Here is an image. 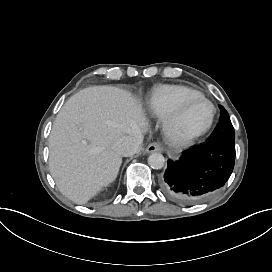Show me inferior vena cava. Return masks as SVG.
<instances>
[{
    "mask_svg": "<svg viewBox=\"0 0 272 272\" xmlns=\"http://www.w3.org/2000/svg\"><path fill=\"white\" fill-rule=\"evenodd\" d=\"M143 141L142 135H138L136 139L130 136L120 138L114 144V150L121 156L128 157L138 152L139 147Z\"/></svg>",
    "mask_w": 272,
    "mask_h": 272,
    "instance_id": "obj_1",
    "label": "inferior vena cava"
}]
</instances>
